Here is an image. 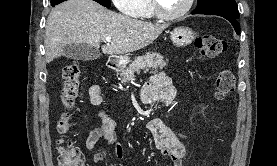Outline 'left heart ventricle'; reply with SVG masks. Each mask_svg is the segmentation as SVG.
Listing matches in <instances>:
<instances>
[{
    "mask_svg": "<svg viewBox=\"0 0 277 166\" xmlns=\"http://www.w3.org/2000/svg\"><path fill=\"white\" fill-rule=\"evenodd\" d=\"M161 8L168 14H173L181 10L187 0H158Z\"/></svg>",
    "mask_w": 277,
    "mask_h": 166,
    "instance_id": "b2bd125f",
    "label": "left heart ventricle"
}]
</instances>
